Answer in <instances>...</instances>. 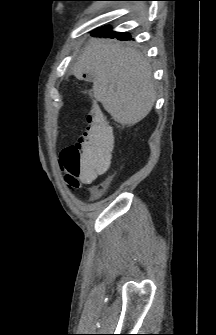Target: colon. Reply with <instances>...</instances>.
<instances>
[{"label": "colon", "mask_w": 216, "mask_h": 335, "mask_svg": "<svg viewBox=\"0 0 216 335\" xmlns=\"http://www.w3.org/2000/svg\"><path fill=\"white\" fill-rule=\"evenodd\" d=\"M111 137V126L99 108L94 106L81 139L60 154L66 185L72 188L79 185V178H101L102 172H111L114 163Z\"/></svg>", "instance_id": "colon-1"}]
</instances>
